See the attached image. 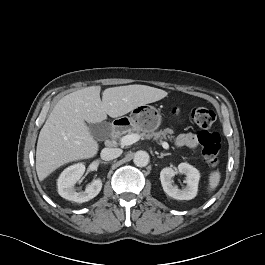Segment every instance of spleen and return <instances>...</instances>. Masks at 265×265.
Wrapping results in <instances>:
<instances>
[{"label": "spleen", "instance_id": "obj_1", "mask_svg": "<svg viewBox=\"0 0 265 265\" xmlns=\"http://www.w3.org/2000/svg\"><path fill=\"white\" fill-rule=\"evenodd\" d=\"M221 174L219 171H213L209 174L208 191L212 192L219 185Z\"/></svg>", "mask_w": 265, "mask_h": 265}]
</instances>
